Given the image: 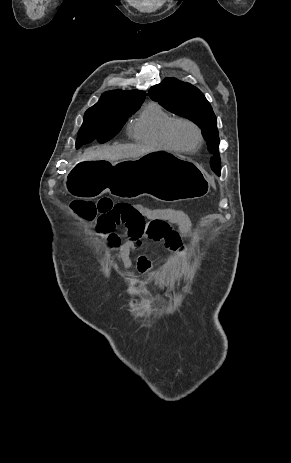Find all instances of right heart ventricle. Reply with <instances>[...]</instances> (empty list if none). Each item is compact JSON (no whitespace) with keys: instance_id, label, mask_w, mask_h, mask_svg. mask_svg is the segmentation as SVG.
Wrapping results in <instances>:
<instances>
[{"instance_id":"obj_1","label":"right heart ventricle","mask_w":291,"mask_h":463,"mask_svg":"<svg viewBox=\"0 0 291 463\" xmlns=\"http://www.w3.org/2000/svg\"><path fill=\"white\" fill-rule=\"evenodd\" d=\"M173 119L159 104L149 103L131 124V138L150 147L176 151L167 138V128Z\"/></svg>"}]
</instances>
